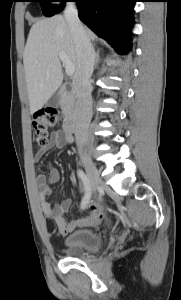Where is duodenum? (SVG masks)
<instances>
[{
    "mask_svg": "<svg viewBox=\"0 0 181 300\" xmlns=\"http://www.w3.org/2000/svg\"><path fill=\"white\" fill-rule=\"evenodd\" d=\"M62 92L65 94H74L72 83L64 84ZM85 114V108L82 105H72L71 112L65 121V131L69 134L75 133L81 124Z\"/></svg>",
    "mask_w": 181,
    "mask_h": 300,
    "instance_id": "duodenum-1",
    "label": "duodenum"
}]
</instances>
